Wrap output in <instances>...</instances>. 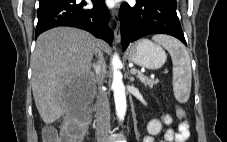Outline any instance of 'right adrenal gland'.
<instances>
[{
  "instance_id": "obj_1",
  "label": "right adrenal gland",
  "mask_w": 227,
  "mask_h": 142,
  "mask_svg": "<svg viewBox=\"0 0 227 142\" xmlns=\"http://www.w3.org/2000/svg\"><path fill=\"white\" fill-rule=\"evenodd\" d=\"M97 53V52H96ZM98 57H99V59H101L102 58V54H101V52H98Z\"/></svg>"
}]
</instances>
